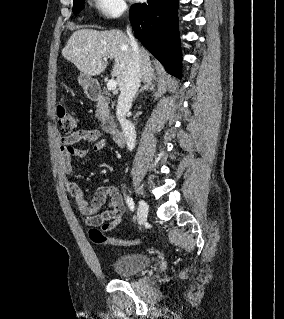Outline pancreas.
<instances>
[{"label":"pancreas","mask_w":284,"mask_h":319,"mask_svg":"<svg viewBox=\"0 0 284 319\" xmlns=\"http://www.w3.org/2000/svg\"><path fill=\"white\" fill-rule=\"evenodd\" d=\"M109 115L108 103H98L96 110V117L99 120H103L105 117Z\"/></svg>","instance_id":"obj_1"}]
</instances>
